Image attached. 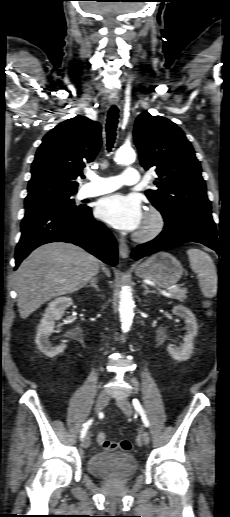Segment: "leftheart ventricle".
Returning <instances> with one entry per match:
<instances>
[{"label": "left heart ventricle", "mask_w": 230, "mask_h": 517, "mask_svg": "<svg viewBox=\"0 0 230 517\" xmlns=\"http://www.w3.org/2000/svg\"><path fill=\"white\" fill-rule=\"evenodd\" d=\"M144 225V220H143V223H142V226Z\"/></svg>", "instance_id": "left-heart-ventricle-1"}]
</instances>
